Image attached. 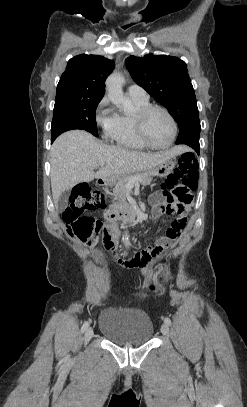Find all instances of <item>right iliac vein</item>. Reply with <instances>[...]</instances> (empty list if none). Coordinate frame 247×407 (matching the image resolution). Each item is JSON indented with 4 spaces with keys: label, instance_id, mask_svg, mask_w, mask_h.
Segmentation results:
<instances>
[{
    "label": "right iliac vein",
    "instance_id": "obj_1",
    "mask_svg": "<svg viewBox=\"0 0 247 407\" xmlns=\"http://www.w3.org/2000/svg\"><path fill=\"white\" fill-rule=\"evenodd\" d=\"M94 331L92 328H88L84 335V343L87 344L90 339L93 337Z\"/></svg>",
    "mask_w": 247,
    "mask_h": 407
}]
</instances>
